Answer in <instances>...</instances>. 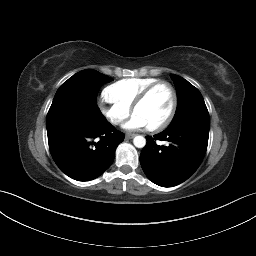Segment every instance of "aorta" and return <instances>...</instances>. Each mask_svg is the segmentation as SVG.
I'll return each instance as SVG.
<instances>
[{
	"instance_id": "obj_1",
	"label": "aorta",
	"mask_w": 256,
	"mask_h": 256,
	"mask_svg": "<svg viewBox=\"0 0 256 256\" xmlns=\"http://www.w3.org/2000/svg\"><path fill=\"white\" fill-rule=\"evenodd\" d=\"M133 144L137 148H143L146 145V139L143 136H136L133 139Z\"/></svg>"
}]
</instances>
